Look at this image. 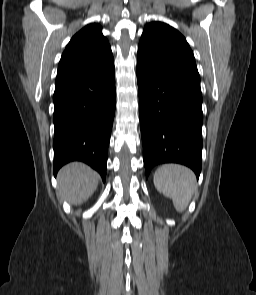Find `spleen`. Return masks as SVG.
<instances>
[{
	"label": "spleen",
	"mask_w": 256,
	"mask_h": 295,
	"mask_svg": "<svg viewBox=\"0 0 256 295\" xmlns=\"http://www.w3.org/2000/svg\"><path fill=\"white\" fill-rule=\"evenodd\" d=\"M156 189L171 198L175 209L183 212L196 188L194 173L185 166L165 164L159 167L153 176Z\"/></svg>",
	"instance_id": "obj_1"
}]
</instances>
